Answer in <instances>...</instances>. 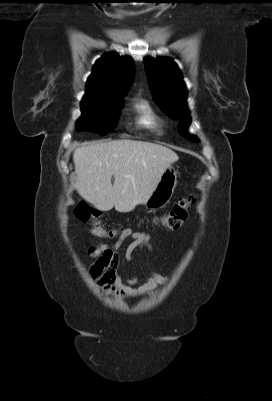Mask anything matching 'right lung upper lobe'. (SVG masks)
<instances>
[{
  "label": "right lung upper lobe",
  "mask_w": 272,
  "mask_h": 401,
  "mask_svg": "<svg viewBox=\"0 0 272 401\" xmlns=\"http://www.w3.org/2000/svg\"><path fill=\"white\" fill-rule=\"evenodd\" d=\"M134 62L129 57H120L115 52L105 53L93 66L86 83L83 99L102 94L124 93L131 85Z\"/></svg>",
  "instance_id": "obj_1"
}]
</instances>
